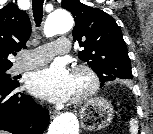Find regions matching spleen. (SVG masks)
I'll return each mask as SVG.
<instances>
[{"label": "spleen", "instance_id": "1", "mask_svg": "<svg viewBox=\"0 0 153 134\" xmlns=\"http://www.w3.org/2000/svg\"><path fill=\"white\" fill-rule=\"evenodd\" d=\"M130 133L131 134H138V123L135 119H131L130 122Z\"/></svg>", "mask_w": 153, "mask_h": 134}]
</instances>
